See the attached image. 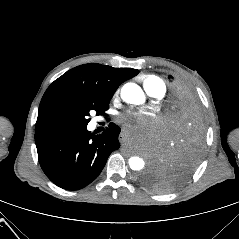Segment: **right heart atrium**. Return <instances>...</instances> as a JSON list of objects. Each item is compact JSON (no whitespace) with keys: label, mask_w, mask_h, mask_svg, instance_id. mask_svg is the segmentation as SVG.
<instances>
[{"label":"right heart atrium","mask_w":239,"mask_h":239,"mask_svg":"<svg viewBox=\"0 0 239 239\" xmlns=\"http://www.w3.org/2000/svg\"><path fill=\"white\" fill-rule=\"evenodd\" d=\"M118 94V90L115 92V95H117Z\"/></svg>","instance_id":"1"}]
</instances>
